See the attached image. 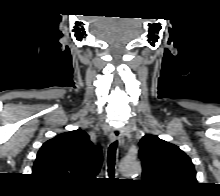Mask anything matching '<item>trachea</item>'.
<instances>
[{
    "label": "trachea",
    "mask_w": 220,
    "mask_h": 196,
    "mask_svg": "<svg viewBox=\"0 0 220 196\" xmlns=\"http://www.w3.org/2000/svg\"><path fill=\"white\" fill-rule=\"evenodd\" d=\"M118 147V141H114L108 148L107 155V166H108V175L113 177L115 174V160H116V151Z\"/></svg>",
    "instance_id": "1"
}]
</instances>
